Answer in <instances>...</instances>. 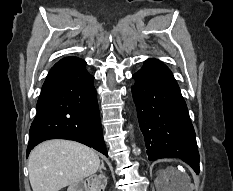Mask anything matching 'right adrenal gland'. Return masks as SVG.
<instances>
[{
	"label": "right adrenal gland",
	"instance_id": "2a0ac1e0",
	"mask_svg": "<svg viewBox=\"0 0 233 191\" xmlns=\"http://www.w3.org/2000/svg\"><path fill=\"white\" fill-rule=\"evenodd\" d=\"M102 169H103V170H106L103 161H101V166L99 167V172H100L101 174H102Z\"/></svg>",
	"mask_w": 233,
	"mask_h": 191
}]
</instances>
